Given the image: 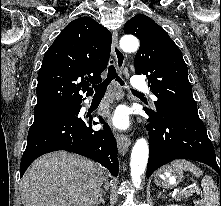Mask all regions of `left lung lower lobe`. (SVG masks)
Here are the masks:
<instances>
[{
  "mask_svg": "<svg viewBox=\"0 0 221 206\" xmlns=\"http://www.w3.org/2000/svg\"><path fill=\"white\" fill-rule=\"evenodd\" d=\"M150 117L149 159L147 178L159 167L175 159H191L205 163L221 176L216 162L214 147L209 140L203 121L198 117H155L145 108Z\"/></svg>",
  "mask_w": 221,
  "mask_h": 206,
  "instance_id": "obj_1",
  "label": "left lung lower lobe"
}]
</instances>
